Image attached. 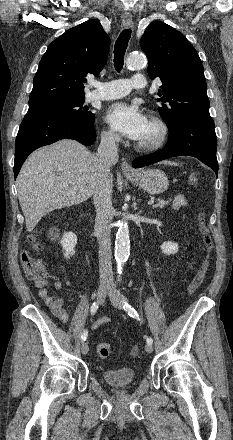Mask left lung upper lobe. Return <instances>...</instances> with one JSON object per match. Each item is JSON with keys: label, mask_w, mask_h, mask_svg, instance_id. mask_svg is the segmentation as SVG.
Segmentation results:
<instances>
[{"label": "left lung upper lobe", "mask_w": 233, "mask_h": 440, "mask_svg": "<svg viewBox=\"0 0 233 440\" xmlns=\"http://www.w3.org/2000/svg\"><path fill=\"white\" fill-rule=\"evenodd\" d=\"M148 58V74L160 78L159 111L169 134L193 115L210 116L207 85L201 60L185 36L161 22H152L140 40Z\"/></svg>", "instance_id": "5c2ea615"}]
</instances>
